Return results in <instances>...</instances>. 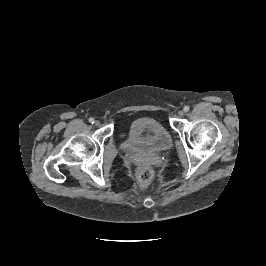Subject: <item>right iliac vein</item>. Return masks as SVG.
Returning <instances> with one entry per match:
<instances>
[{
    "label": "right iliac vein",
    "mask_w": 266,
    "mask_h": 266,
    "mask_svg": "<svg viewBox=\"0 0 266 266\" xmlns=\"http://www.w3.org/2000/svg\"><path fill=\"white\" fill-rule=\"evenodd\" d=\"M95 125H96V126L100 125V121H98V120L95 121Z\"/></svg>",
    "instance_id": "obj_1"
}]
</instances>
